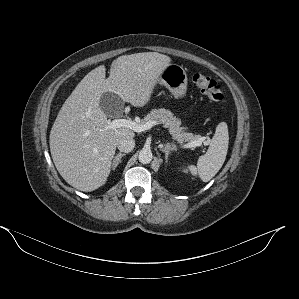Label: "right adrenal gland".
Listing matches in <instances>:
<instances>
[{"label": "right adrenal gland", "mask_w": 299, "mask_h": 299, "mask_svg": "<svg viewBox=\"0 0 299 299\" xmlns=\"http://www.w3.org/2000/svg\"><path fill=\"white\" fill-rule=\"evenodd\" d=\"M126 154L125 153H118L115 157H114V159H113V161H112V164H111V166H112V170H115L116 169V167L122 162V157H124Z\"/></svg>", "instance_id": "obj_1"}]
</instances>
